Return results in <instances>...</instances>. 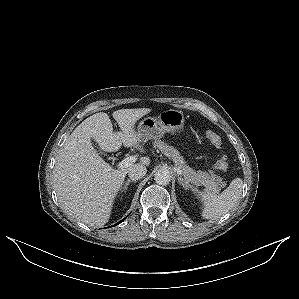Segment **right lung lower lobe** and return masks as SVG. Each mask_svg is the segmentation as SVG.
<instances>
[{
    "instance_id": "98d812e1",
    "label": "right lung lower lobe",
    "mask_w": 299,
    "mask_h": 299,
    "mask_svg": "<svg viewBox=\"0 0 299 299\" xmlns=\"http://www.w3.org/2000/svg\"><path fill=\"white\" fill-rule=\"evenodd\" d=\"M123 220H124V219H122V220H121L120 222H118L117 224L121 223ZM117 224H115V225H117ZM115 225H114V226H115Z\"/></svg>"
}]
</instances>
